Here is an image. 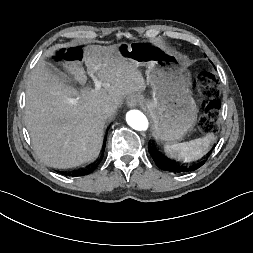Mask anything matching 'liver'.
Masks as SVG:
<instances>
[{
	"instance_id": "1",
	"label": "liver",
	"mask_w": 253,
	"mask_h": 253,
	"mask_svg": "<svg viewBox=\"0 0 253 253\" xmlns=\"http://www.w3.org/2000/svg\"><path fill=\"white\" fill-rule=\"evenodd\" d=\"M50 48L45 57L54 55ZM82 62L96 74L102 88L78 91L51 74L41 58L27 82L25 123L36 155L47 166L67 169L94 160L102 147L106 104L121 106L127 95L141 94L146 82L132 60L122 56L119 45H90ZM81 61L66 62L73 78L85 85Z\"/></svg>"
}]
</instances>
